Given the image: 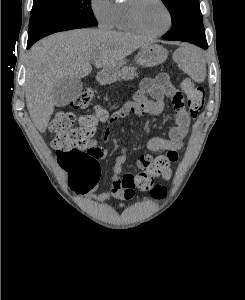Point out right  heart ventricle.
Instances as JSON below:
<instances>
[{
  "instance_id": "right-heart-ventricle-1",
  "label": "right heart ventricle",
  "mask_w": 245,
  "mask_h": 300,
  "mask_svg": "<svg viewBox=\"0 0 245 300\" xmlns=\"http://www.w3.org/2000/svg\"><path fill=\"white\" fill-rule=\"evenodd\" d=\"M131 0H121L114 4L111 27L129 33H141L130 21L128 7Z\"/></svg>"
}]
</instances>
